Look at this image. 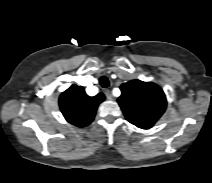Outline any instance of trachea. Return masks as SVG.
Masks as SVG:
<instances>
[{
    "label": "trachea",
    "mask_w": 212,
    "mask_h": 183,
    "mask_svg": "<svg viewBox=\"0 0 212 183\" xmlns=\"http://www.w3.org/2000/svg\"><path fill=\"white\" fill-rule=\"evenodd\" d=\"M99 83L100 85L103 87V88H107L109 87L110 85V82L108 80V78L106 76H102L100 79H99Z\"/></svg>",
    "instance_id": "obj_1"
}]
</instances>
